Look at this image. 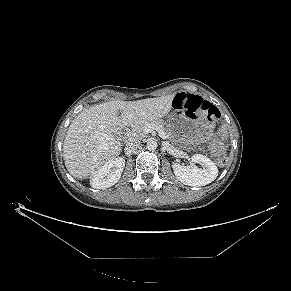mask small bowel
<instances>
[{"label": "small bowel", "mask_w": 291, "mask_h": 291, "mask_svg": "<svg viewBox=\"0 0 291 291\" xmlns=\"http://www.w3.org/2000/svg\"><path fill=\"white\" fill-rule=\"evenodd\" d=\"M182 94H184V95H194V94H186V93H182ZM194 96H197V95H194Z\"/></svg>", "instance_id": "1"}]
</instances>
